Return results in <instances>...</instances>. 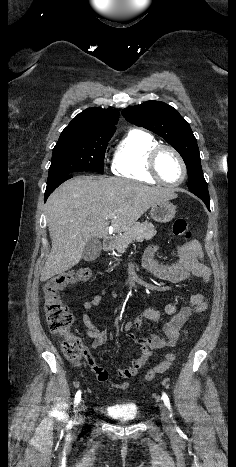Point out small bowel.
Segmentation results:
<instances>
[{"instance_id": "c3829d8e", "label": "small bowel", "mask_w": 236, "mask_h": 467, "mask_svg": "<svg viewBox=\"0 0 236 467\" xmlns=\"http://www.w3.org/2000/svg\"><path fill=\"white\" fill-rule=\"evenodd\" d=\"M158 248V245L148 247L143 256V267L152 276L171 283L184 281L191 276L200 278L205 283L210 282V270L203 262V254L197 242L181 245L178 251L179 260L169 265L157 262L156 253ZM105 294L106 292L102 291L83 303L81 319L86 335L93 340V348L101 346L108 340V332L99 330L90 317L91 310L102 302ZM207 306L208 299L204 292H197L189 296L188 305L179 311L174 303H167L164 307V312L169 316V319L163 324L165 337L156 334L140 337L132 332L134 327L142 330L146 321L157 322L161 319V313L153 305L147 306L133 322H125L123 330L137 345V356L131 361L130 366L119 368L117 370L118 375L123 379H130L136 376L150 357L152 350L172 347L179 338L180 330L187 323L191 315L205 311ZM90 366L99 381H109V373L105 368L92 361L90 362ZM111 385L121 390H126L129 387L127 381H112Z\"/></svg>"}]
</instances>
